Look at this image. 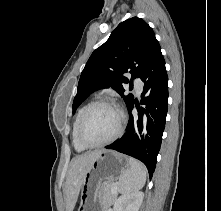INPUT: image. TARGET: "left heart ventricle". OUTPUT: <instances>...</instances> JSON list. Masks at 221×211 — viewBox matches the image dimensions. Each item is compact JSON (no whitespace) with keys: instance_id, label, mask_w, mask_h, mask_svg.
Here are the masks:
<instances>
[{"instance_id":"1","label":"left heart ventricle","mask_w":221,"mask_h":211,"mask_svg":"<svg viewBox=\"0 0 221 211\" xmlns=\"http://www.w3.org/2000/svg\"><path fill=\"white\" fill-rule=\"evenodd\" d=\"M119 115L109 106H97L87 116L84 127V138L91 143L104 141L117 130Z\"/></svg>"}]
</instances>
